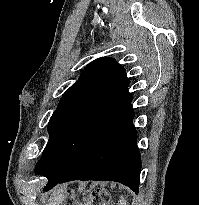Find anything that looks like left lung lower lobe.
Masks as SVG:
<instances>
[{"mask_svg": "<svg viewBox=\"0 0 199 205\" xmlns=\"http://www.w3.org/2000/svg\"><path fill=\"white\" fill-rule=\"evenodd\" d=\"M131 101L129 94L99 123L64 175L51 179L44 190L73 180H111L138 193L141 156Z\"/></svg>", "mask_w": 199, "mask_h": 205, "instance_id": "obj_1", "label": "left lung lower lobe"}]
</instances>
